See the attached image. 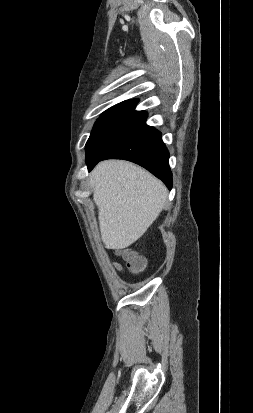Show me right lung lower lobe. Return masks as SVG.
Here are the masks:
<instances>
[{"instance_id":"1","label":"right lung lower lobe","mask_w":253,"mask_h":413,"mask_svg":"<svg viewBox=\"0 0 253 413\" xmlns=\"http://www.w3.org/2000/svg\"><path fill=\"white\" fill-rule=\"evenodd\" d=\"M111 158L137 163L161 179L169 189L172 188L169 152L162 141L161 133L154 127L145 124L105 155L87 163L88 170L91 171L99 161Z\"/></svg>"}]
</instances>
